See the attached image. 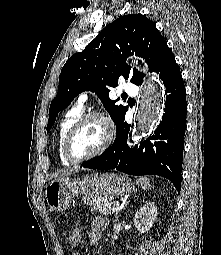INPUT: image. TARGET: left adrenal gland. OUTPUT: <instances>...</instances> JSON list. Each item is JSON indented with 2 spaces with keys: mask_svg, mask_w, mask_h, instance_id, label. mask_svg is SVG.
Listing matches in <instances>:
<instances>
[{
  "mask_svg": "<svg viewBox=\"0 0 221 255\" xmlns=\"http://www.w3.org/2000/svg\"><path fill=\"white\" fill-rule=\"evenodd\" d=\"M119 212H120V210L115 214V220L114 221H117Z\"/></svg>",
  "mask_w": 221,
  "mask_h": 255,
  "instance_id": "left-adrenal-gland-1",
  "label": "left adrenal gland"
}]
</instances>
